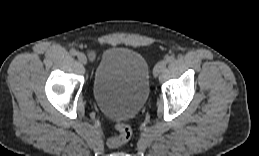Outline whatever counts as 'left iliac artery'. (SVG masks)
<instances>
[{
    "mask_svg": "<svg viewBox=\"0 0 259 156\" xmlns=\"http://www.w3.org/2000/svg\"><path fill=\"white\" fill-rule=\"evenodd\" d=\"M172 61H174V56H167V57H166V62H167V63H170V62H172Z\"/></svg>",
    "mask_w": 259,
    "mask_h": 156,
    "instance_id": "44dca946",
    "label": "left iliac artery"
}]
</instances>
